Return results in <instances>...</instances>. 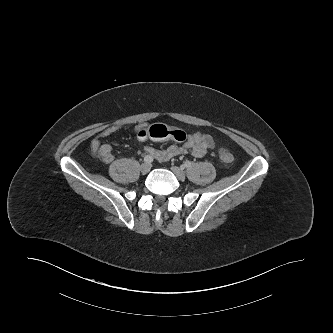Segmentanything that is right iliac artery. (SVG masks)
I'll list each match as a JSON object with an SVG mask.
<instances>
[{
    "instance_id": "right-iliac-artery-1",
    "label": "right iliac artery",
    "mask_w": 333,
    "mask_h": 333,
    "mask_svg": "<svg viewBox=\"0 0 333 333\" xmlns=\"http://www.w3.org/2000/svg\"><path fill=\"white\" fill-rule=\"evenodd\" d=\"M144 161H145L146 163H152V162H153V157L150 156V155H146V156L144 157Z\"/></svg>"
}]
</instances>
